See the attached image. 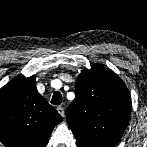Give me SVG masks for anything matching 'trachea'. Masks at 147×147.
<instances>
[{"mask_svg":"<svg viewBox=\"0 0 147 147\" xmlns=\"http://www.w3.org/2000/svg\"><path fill=\"white\" fill-rule=\"evenodd\" d=\"M51 103L53 105H60L62 103V95H61V93L59 91H55L53 93Z\"/></svg>","mask_w":147,"mask_h":147,"instance_id":"1","label":"trachea"}]
</instances>
